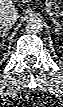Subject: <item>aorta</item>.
<instances>
[{"mask_svg":"<svg viewBox=\"0 0 63 107\" xmlns=\"http://www.w3.org/2000/svg\"><path fill=\"white\" fill-rule=\"evenodd\" d=\"M43 26V22L39 17H29L25 22V30L29 34L42 32Z\"/></svg>","mask_w":63,"mask_h":107,"instance_id":"762f6f07","label":"aorta"}]
</instances>
